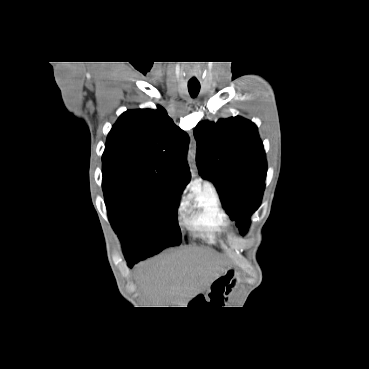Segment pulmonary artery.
<instances>
[{
	"label": "pulmonary artery",
	"instance_id": "obj_1",
	"mask_svg": "<svg viewBox=\"0 0 369 369\" xmlns=\"http://www.w3.org/2000/svg\"><path fill=\"white\" fill-rule=\"evenodd\" d=\"M206 184L211 186V184L209 182H206Z\"/></svg>",
	"mask_w": 369,
	"mask_h": 369
}]
</instances>
